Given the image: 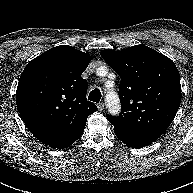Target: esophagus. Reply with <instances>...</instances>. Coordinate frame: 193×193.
Segmentation results:
<instances>
[{
    "label": "esophagus",
    "instance_id": "1",
    "mask_svg": "<svg viewBox=\"0 0 193 193\" xmlns=\"http://www.w3.org/2000/svg\"><path fill=\"white\" fill-rule=\"evenodd\" d=\"M97 108H98L99 111H103L104 110V103H99L97 105Z\"/></svg>",
    "mask_w": 193,
    "mask_h": 193
}]
</instances>
